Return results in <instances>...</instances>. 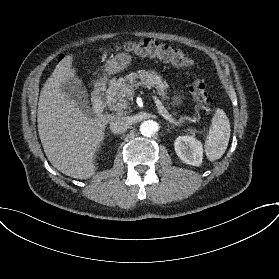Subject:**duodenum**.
Returning <instances> with one entry per match:
<instances>
[{
	"label": "duodenum",
	"instance_id": "410a0bca",
	"mask_svg": "<svg viewBox=\"0 0 279 279\" xmlns=\"http://www.w3.org/2000/svg\"><path fill=\"white\" fill-rule=\"evenodd\" d=\"M91 108L95 115H101L103 112L104 105L99 87H96L93 92L91 98Z\"/></svg>",
	"mask_w": 279,
	"mask_h": 279
}]
</instances>
